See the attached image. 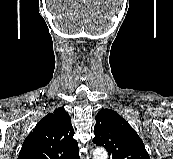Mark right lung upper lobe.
Instances as JSON below:
<instances>
[{
  "mask_svg": "<svg viewBox=\"0 0 173 159\" xmlns=\"http://www.w3.org/2000/svg\"><path fill=\"white\" fill-rule=\"evenodd\" d=\"M69 114L56 108L26 137L18 159H80Z\"/></svg>",
  "mask_w": 173,
  "mask_h": 159,
  "instance_id": "right-lung-upper-lobe-1",
  "label": "right lung upper lobe"
}]
</instances>
